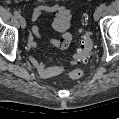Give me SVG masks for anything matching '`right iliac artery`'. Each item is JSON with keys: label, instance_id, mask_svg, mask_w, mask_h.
Wrapping results in <instances>:
<instances>
[{"label": "right iliac artery", "instance_id": "82829eb1", "mask_svg": "<svg viewBox=\"0 0 119 119\" xmlns=\"http://www.w3.org/2000/svg\"><path fill=\"white\" fill-rule=\"evenodd\" d=\"M14 16H15L16 18H19V17H20V13H19L18 11H15V12H14Z\"/></svg>", "mask_w": 119, "mask_h": 119}]
</instances>
